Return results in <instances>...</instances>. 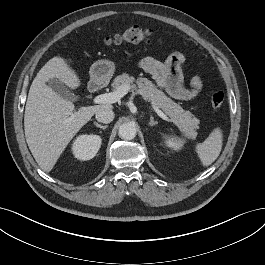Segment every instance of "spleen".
Instances as JSON below:
<instances>
[{
	"label": "spleen",
	"mask_w": 265,
	"mask_h": 265,
	"mask_svg": "<svg viewBox=\"0 0 265 265\" xmlns=\"http://www.w3.org/2000/svg\"><path fill=\"white\" fill-rule=\"evenodd\" d=\"M223 135L220 128H215L210 136L201 144L196 151L204 167L211 165L219 156L222 149Z\"/></svg>",
	"instance_id": "3e777b00"
}]
</instances>
